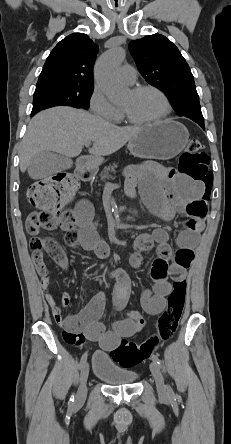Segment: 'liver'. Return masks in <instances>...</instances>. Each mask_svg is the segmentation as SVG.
Masks as SVG:
<instances>
[{
	"mask_svg": "<svg viewBox=\"0 0 231 444\" xmlns=\"http://www.w3.org/2000/svg\"><path fill=\"white\" fill-rule=\"evenodd\" d=\"M144 127H118L72 107H53L37 113L30 121L20 146V170L25 172L34 155L43 151L66 158L78 156L86 142L93 143L91 157L113 154Z\"/></svg>",
	"mask_w": 231,
	"mask_h": 444,
	"instance_id": "liver-1",
	"label": "liver"
}]
</instances>
